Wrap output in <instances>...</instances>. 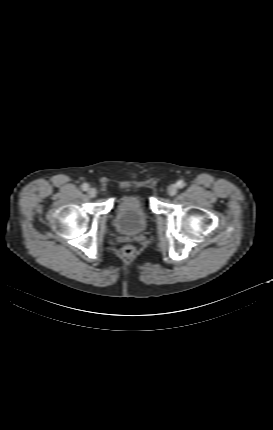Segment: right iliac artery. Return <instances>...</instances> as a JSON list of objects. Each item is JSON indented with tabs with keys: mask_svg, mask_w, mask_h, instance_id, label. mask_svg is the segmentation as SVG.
<instances>
[{
	"mask_svg": "<svg viewBox=\"0 0 273 430\" xmlns=\"http://www.w3.org/2000/svg\"><path fill=\"white\" fill-rule=\"evenodd\" d=\"M81 187L83 191H87L89 189V185L87 183H84Z\"/></svg>",
	"mask_w": 273,
	"mask_h": 430,
	"instance_id": "1",
	"label": "right iliac artery"
}]
</instances>
